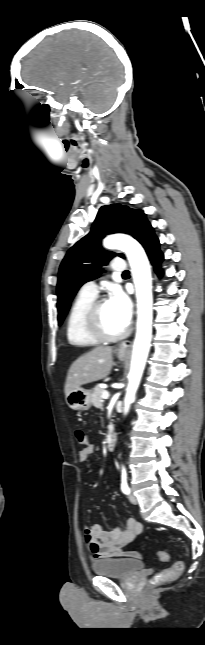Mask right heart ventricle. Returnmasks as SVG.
Wrapping results in <instances>:
<instances>
[{"label": "right heart ventricle", "instance_id": "1", "mask_svg": "<svg viewBox=\"0 0 205 645\" xmlns=\"http://www.w3.org/2000/svg\"><path fill=\"white\" fill-rule=\"evenodd\" d=\"M95 296L79 292L74 298L66 320V337L69 344L78 347L95 346L99 340L91 336L85 326V314Z\"/></svg>", "mask_w": 205, "mask_h": 645}]
</instances>
